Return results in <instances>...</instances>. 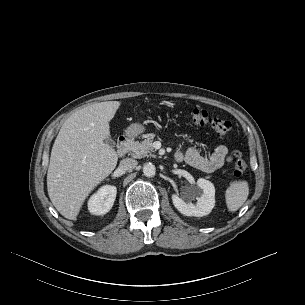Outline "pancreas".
I'll use <instances>...</instances> for the list:
<instances>
[{"mask_svg":"<svg viewBox=\"0 0 305 305\" xmlns=\"http://www.w3.org/2000/svg\"><path fill=\"white\" fill-rule=\"evenodd\" d=\"M155 137V134H146L144 136V140L142 142L139 141H133L130 144V151L131 155L134 158H143V157H149L153 156V146H152V141L153 138Z\"/></svg>","mask_w":305,"mask_h":305,"instance_id":"cf45deb5","label":"pancreas"}]
</instances>
